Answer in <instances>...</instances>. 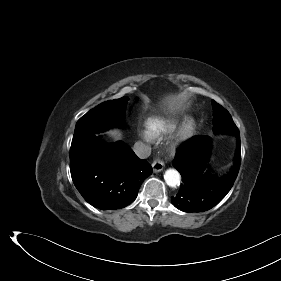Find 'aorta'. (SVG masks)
<instances>
[{
	"label": "aorta",
	"mask_w": 281,
	"mask_h": 281,
	"mask_svg": "<svg viewBox=\"0 0 281 281\" xmlns=\"http://www.w3.org/2000/svg\"><path fill=\"white\" fill-rule=\"evenodd\" d=\"M165 182L170 187H176L180 184V173L175 169H167L164 174Z\"/></svg>",
	"instance_id": "1"
}]
</instances>
